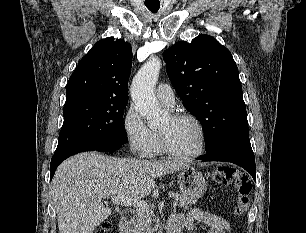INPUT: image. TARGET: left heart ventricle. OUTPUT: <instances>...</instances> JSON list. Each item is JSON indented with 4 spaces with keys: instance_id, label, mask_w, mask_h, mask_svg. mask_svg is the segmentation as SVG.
Returning <instances> with one entry per match:
<instances>
[{
    "instance_id": "b2bd125f",
    "label": "left heart ventricle",
    "mask_w": 306,
    "mask_h": 233,
    "mask_svg": "<svg viewBox=\"0 0 306 233\" xmlns=\"http://www.w3.org/2000/svg\"><path fill=\"white\" fill-rule=\"evenodd\" d=\"M159 131L166 135L170 146L176 151L190 153L199 148L200 134L191 120L169 117Z\"/></svg>"
}]
</instances>
